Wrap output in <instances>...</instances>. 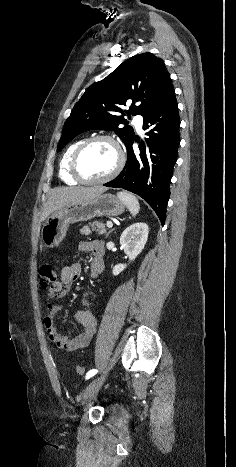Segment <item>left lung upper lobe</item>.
I'll list each match as a JSON object with an SVG mask.
<instances>
[{"label": "left lung upper lobe", "mask_w": 236, "mask_h": 467, "mask_svg": "<svg viewBox=\"0 0 236 467\" xmlns=\"http://www.w3.org/2000/svg\"><path fill=\"white\" fill-rule=\"evenodd\" d=\"M171 87L162 59L151 53L127 59L105 79L90 86L75 104L65 122L57 152L75 136L93 129L114 131L127 145L134 130L124 116H144ZM126 102L132 103L128 111L123 109Z\"/></svg>", "instance_id": "left-lung-upper-lobe-1"}]
</instances>
